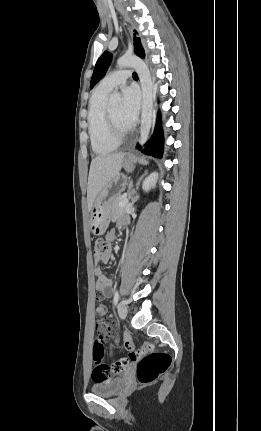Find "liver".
Wrapping results in <instances>:
<instances>
[{
	"label": "liver",
	"instance_id": "6515ba94",
	"mask_svg": "<svg viewBox=\"0 0 261 431\" xmlns=\"http://www.w3.org/2000/svg\"><path fill=\"white\" fill-rule=\"evenodd\" d=\"M125 153H112L95 157L90 165L87 203L89 210L100 192L119 174L122 168Z\"/></svg>",
	"mask_w": 261,
	"mask_h": 431
}]
</instances>
